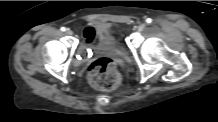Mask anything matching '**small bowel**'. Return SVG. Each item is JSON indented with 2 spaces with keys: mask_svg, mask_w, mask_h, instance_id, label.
<instances>
[{
  "mask_svg": "<svg viewBox=\"0 0 218 122\" xmlns=\"http://www.w3.org/2000/svg\"><path fill=\"white\" fill-rule=\"evenodd\" d=\"M96 31H97V27H93V26L86 27L84 29V42L85 43L94 42L96 38Z\"/></svg>",
  "mask_w": 218,
  "mask_h": 122,
  "instance_id": "1",
  "label": "small bowel"
}]
</instances>
